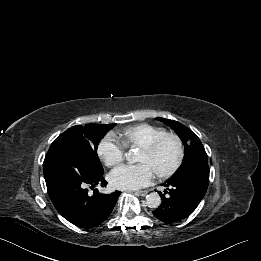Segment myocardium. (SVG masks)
Returning <instances> with one entry per match:
<instances>
[{"label":"myocardium","mask_w":261,"mask_h":261,"mask_svg":"<svg viewBox=\"0 0 261 261\" xmlns=\"http://www.w3.org/2000/svg\"><path fill=\"white\" fill-rule=\"evenodd\" d=\"M166 138L175 139V141L177 143V147H178V155H177L176 161L169 169L157 174V176L159 178H168V177L172 176L173 174H175L181 167L183 160H184V156H185L184 145H183L181 138L176 133L164 132V133L158 135L152 141H150L149 143H147L146 145L142 146L139 149V151H141L145 154L153 153L158 148L160 143Z\"/></svg>","instance_id":"obj_1"}]
</instances>
